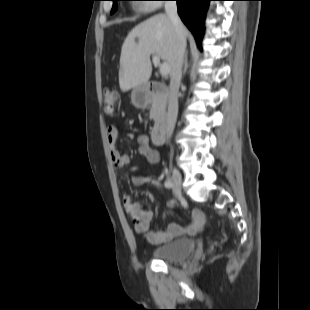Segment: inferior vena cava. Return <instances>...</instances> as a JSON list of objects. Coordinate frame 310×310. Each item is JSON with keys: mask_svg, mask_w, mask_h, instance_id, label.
<instances>
[{"mask_svg": "<svg viewBox=\"0 0 310 310\" xmlns=\"http://www.w3.org/2000/svg\"><path fill=\"white\" fill-rule=\"evenodd\" d=\"M165 12L166 15L170 18L177 35L174 66L171 72L169 87L168 112L164 127L166 138L170 139L173 134L178 115V90L182 77V64L184 61L186 40L184 36V27L178 16L176 2L167 1L165 3Z\"/></svg>", "mask_w": 310, "mask_h": 310, "instance_id": "obj_1", "label": "inferior vena cava"}]
</instances>
